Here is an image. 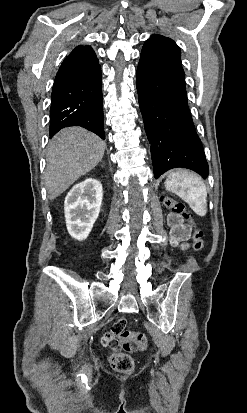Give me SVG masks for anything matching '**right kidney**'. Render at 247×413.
Here are the masks:
<instances>
[{
    "mask_svg": "<svg viewBox=\"0 0 247 413\" xmlns=\"http://www.w3.org/2000/svg\"><path fill=\"white\" fill-rule=\"evenodd\" d=\"M102 190V184L96 178H85L69 190L64 211L67 231L73 239H87L100 213Z\"/></svg>",
    "mask_w": 247,
    "mask_h": 413,
    "instance_id": "obj_1",
    "label": "right kidney"
}]
</instances>
